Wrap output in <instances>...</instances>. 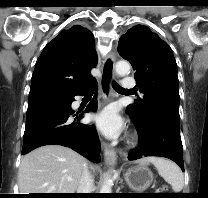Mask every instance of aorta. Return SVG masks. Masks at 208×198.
<instances>
[{
  "instance_id": "aorta-1",
  "label": "aorta",
  "mask_w": 208,
  "mask_h": 198,
  "mask_svg": "<svg viewBox=\"0 0 208 198\" xmlns=\"http://www.w3.org/2000/svg\"><path fill=\"white\" fill-rule=\"evenodd\" d=\"M116 73L120 76H125L130 72V64L127 61H118L115 66ZM113 182L110 176L106 177L100 193H111Z\"/></svg>"
}]
</instances>
